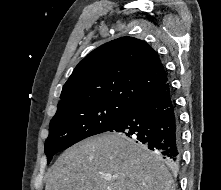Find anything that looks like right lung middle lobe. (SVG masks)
I'll list each match as a JSON object with an SVG mask.
<instances>
[{
  "label": "right lung middle lobe",
  "mask_w": 221,
  "mask_h": 190,
  "mask_svg": "<svg viewBox=\"0 0 221 190\" xmlns=\"http://www.w3.org/2000/svg\"><path fill=\"white\" fill-rule=\"evenodd\" d=\"M130 105L108 99L76 103L57 109L50 122L49 136L44 146L48 163L56 152L114 128Z\"/></svg>",
  "instance_id": "1"
}]
</instances>
